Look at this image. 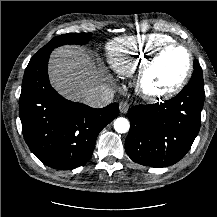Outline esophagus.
Wrapping results in <instances>:
<instances>
[{"label":"esophagus","mask_w":217,"mask_h":217,"mask_svg":"<svg viewBox=\"0 0 217 217\" xmlns=\"http://www.w3.org/2000/svg\"><path fill=\"white\" fill-rule=\"evenodd\" d=\"M129 106L130 104L127 101H122L119 106L120 112L123 114L127 113Z\"/></svg>","instance_id":"obj_1"}]
</instances>
